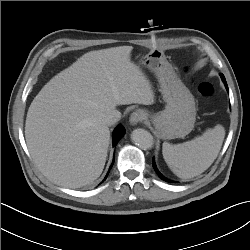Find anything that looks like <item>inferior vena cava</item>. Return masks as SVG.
<instances>
[{
    "instance_id": "1",
    "label": "inferior vena cava",
    "mask_w": 250,
    "mask_h": 250,
    "mask_svg": "<svg viewBox=\"0 0 250 250\" xmlns=\"http://www.w3.org/2000/svg\"><path fill=\"white\" fill-rule=\"evenodd\" d=\"M120 118H121V113L118 110H112L104 116L103 122L108 126H111L116 122H118Z\"/></svg>"
}]
</instances>
